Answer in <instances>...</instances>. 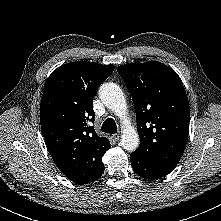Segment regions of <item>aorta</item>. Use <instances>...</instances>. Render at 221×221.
I'll return each mask as SVG.
<instances>
[{
	"mask_svg": "<svg viewBox=\"0 0 221 221\" xmlns=\"http://www.w3.org/2000/svg\"><path fill=\"white\" fill-rule=\"evenodd\" d=\"M99 98L103 104L118 116L123 123L121 146L127 151H134L139 146L137 130L125 119L127 104L122 89L115 83H104L99 88Z\"/></svg>",
	"mask_w": 221,
	"mask_h": 221,
	"instance_id": "aorta-1",
	"label": "aorta"
}]
</instances>
